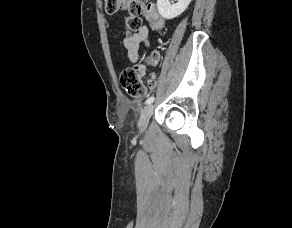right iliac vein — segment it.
I'll list each match as a JSON object with an SVG mask.
<instances>
[{
	"mask_svg": "<svg viewBox=\"0 0 292 228\" xmlns=\"http://www.w3.org/2000/svg\"><path fill=\"white\" fill-rule=\"evenodd\" d=\"M153 113V105L147 106L141 113L138 127L141 132L145 131L148 126L149 119Z\"/></svg>",
	"mask_w": 292,
	"mask_h": 228,
	"instance_id": "right-iliac-vein-1",
	"label": "right iliac vein"
}]
</instances>
